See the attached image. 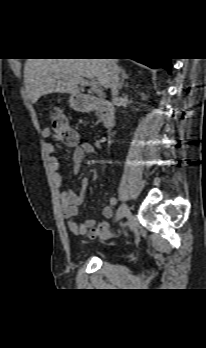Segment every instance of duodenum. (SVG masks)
I'll return each mask as SVG.
<instances>
[{"instance_id": "410a0bca", "label": "duodenum", "mask_w": 206, "mask_h": 348, "mask_svg": "<svg viewBox=\"0 0 206 348\" xmlns=\"http://www.w3.org/2000/svg\"><path fill=\"white\" fill-rule=\"evenodd\" d=\"M77 103L83 111H95L99 113L103 127L110 128L114 125L115 109L106 99L89 95H78Z\"/></svg>"}]
</instances>
